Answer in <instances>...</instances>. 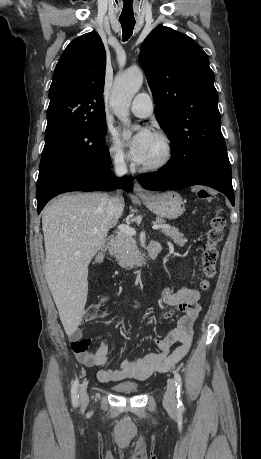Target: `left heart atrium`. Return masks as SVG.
Returning <instances> with one entry per match:
<instances>
[{
  "label": "left heart atrium",
  "mask_w": 261,
  "mask_h": 459,
  "mask_svg": "<svg viewBox=\"0 0 261 459\" xmlns=\"http://www.w3.org/2000/svg\"><path fill=\"white\" fill-rule=\"evenodd\" d=\"M154 134L148 128L140 129L130 140V152L132 159L143 164L147 157L148 148L152 142Z\"/></svg>",
  "instance_id": "39dd6f15"
}]
</instances>
